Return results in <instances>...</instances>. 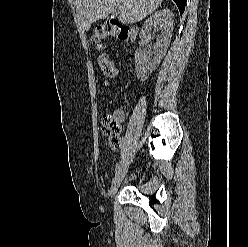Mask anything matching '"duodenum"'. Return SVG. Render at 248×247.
<instances>
[{"instance_id":"duodenum-1","label":"duodenum","mask_w":248,"mask_h":247,"mask_svg":"<svg viewBox=\"0 0 248 247\" xmlns=\"http://www.w3.org/2000/svg\"><path fill=\"white\" fill-rule=\"evenodd\" d=\"M126 28V30L128 31V35L130 34L131 36H134L135 35V33H136V28L135 27H131L130 29H129V27H125Z\"/></svg>"}]
</instances>
